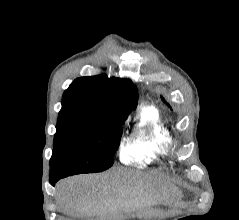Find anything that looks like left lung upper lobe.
<instances>
[{
	"instance_id": "left-lung-upper-lobe-1",
	"label": "left lung upper lobe",
	"mask_w": 239,
	"mask_h": 220,
	"mask_svg": "<svg viewBox=\"0 0 239 220\" xmlns=\"http://www.w3.org/2000/svg\"><path fill=\"white\" fill-rule=\"evenodd\" d=\"M161 99H162V101H163L164 103H166V105H167L168 107L171 108L170 104L165 101V98H164L163 96H161ZM171 110H172V109H171Z\"/></svg>"
}]
</instances>
